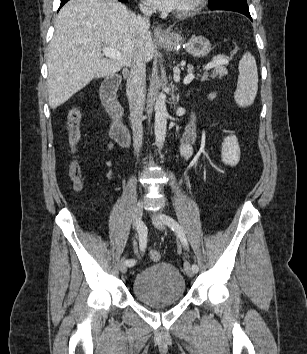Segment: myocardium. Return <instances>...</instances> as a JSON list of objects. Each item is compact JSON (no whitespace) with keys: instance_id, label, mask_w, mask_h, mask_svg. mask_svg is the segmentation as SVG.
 Listing matches in <instances>:
<instances>
[{"instance_id":"myocardium-1","label":"myocardium","mask_w":307,"mask_h":354,"mask_svg":"<svg viewBox=\"0 0 307 354\" xmlns=\"http://www.w3.org/2000/svg\"><path fill=\"white\" fill-rule=\"evenodd\" d=\"M204 0H188L187 4L178 10L179 16H187L197 11L203 4Z\"/></svg>"}]
</instances>
